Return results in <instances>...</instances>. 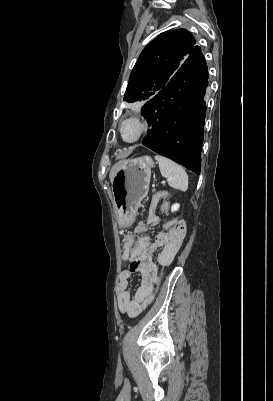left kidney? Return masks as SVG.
<instances>
[{
	"instance_id": "left-kidney-1",
	"label": "left kidney",
	"mask_w": 273,
	"mask_h": 401,
	"mask_svg": "<svg viewBox=\"0 0 273 401\" xmlns=\"http://www.w3.org/2000/svg\"><path fill=\"white\" fill-rule=\"evenodd\" d=\"M179 207H180V205H178V203H175V205H172V207H171L172 213H174V211H178Z\"/></svg>"
}]
</instances>
